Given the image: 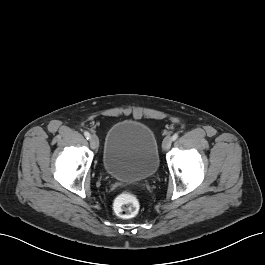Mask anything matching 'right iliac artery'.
Here are the masks:
<instances>
[{
    "label": "right iliac artery",
    "mask_w": 265,
    "mask_h": 265,
    "mask_svg": "<svg viewBox=\"0 0 265 265\" xmlns=\"http://www.w3.org/2000/svg\"><path fill=\"white\" fill-rule=\"evenodd\" d=\"M84 136L86 137L87 140L90 139V133L89 132L85 131Z\"/></svg>",
    "instance_id": "right-iliac-artery-1"
}]
</instances>
